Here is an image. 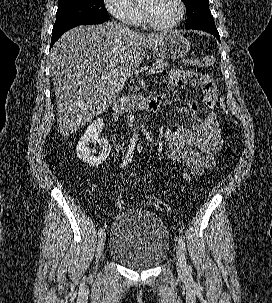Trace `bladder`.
Segmentation results:
<instances>
[{
  "label": "bladder",
  "mask_w": 272,
  "mask_h": 303,
  "mask_svg": "<svg viewBox=\"0 0 272 303\" xmlns=\"http://www.w3.org/2000/svg\"><path fill=\"white\" fill-rule=\"evenodd\" d=\"M169 249L167 227L153 212L125 209L111 224L109 254L129 268L145 270L156 267L166 259Z\"/></svg>",
  "instance_id": "31cf9c89"
}]
</instances>
